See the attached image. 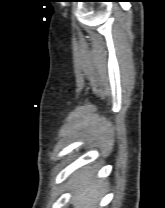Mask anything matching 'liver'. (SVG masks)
Here are the masks:
<instances>
[{"mask_svg": "<svg viewBox=\"0 0 165 208\" xmlns=\"http://www.w3.org/2000/svg\"><path fill=\"white\" fill-rule=\"evenodd\" d=\"M92 169L77 172L72 177L71 189L74 190L72 204L74 208H95L103 196L105 183L95 180Z\"/></svg>", "mask_w": 165, "mask_h": 208, "instance_id": "6515ba94", "label": "liver"}]
</instances>
